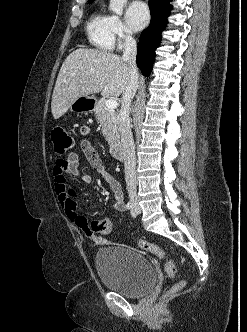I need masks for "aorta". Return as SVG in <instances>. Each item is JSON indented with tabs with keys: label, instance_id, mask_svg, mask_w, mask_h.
<instances>
[{
	"label": "aorta",
	"instance_id": "762f6f07",
	"mask_svg": "<svg viewBox=\"0 0 247 332\" xmlns=\"http://www.w3.org/2000/svg\"><path fill=\"white\" fill-rule=\"evenodd\" d=\"M126 3L127 0H110L109 9L117 15H122L123 8Z\"/></svg>",
	"mask_w": 247,
	"mask_h": 332
}]
</instances>
